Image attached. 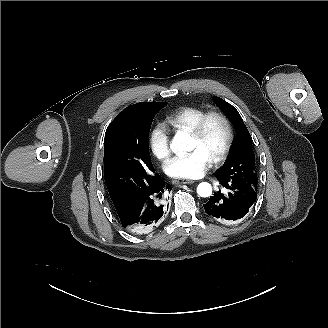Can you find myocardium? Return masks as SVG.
Instances as JSON below:
<instances>
[{"instance_id": "1", "label": "myocardium", "mask_w": 328, "mask_h": 328, "mask_svg": "<svg viewBox=\"0 0 328 328\" xmlns=\"http://www.w3.org/2000/svg\"><path fill=\"white\" fill-rule=\"evenodd\" d=\"M212 119L221 120L227 128L226 143L221 152L212 160L213 164H221L225 162L231 153V150L235 141V129L231 119L224 112L219 110H211L203 114V116L197 121L193 128L189 131L190 135L195 139H200Z\"/></svg>"}]
</instances>
